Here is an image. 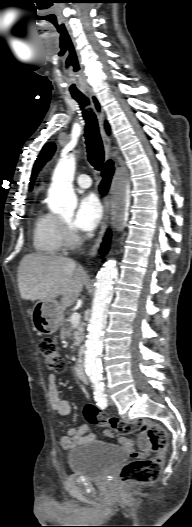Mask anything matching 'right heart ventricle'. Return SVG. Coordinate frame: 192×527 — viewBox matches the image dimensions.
<instances>
[{
	"label": "right heart ventricle",
	"mask_w": 192,
	"mask_h": 527,
	"mask_svg": "<svg viewBox=\"0 0 192 527\" xmlns=\"http://www.w3.org/2000/svg\"><path fill=\"white\" fill-rule=\"evenodd\" d=\"M32 241L37 253L55 255L64 247L62 220L44 209L38 210L33 221Z\"/></svg>",
	"instance_id": "right-heart-ventricle-1"
}]
</instances>
